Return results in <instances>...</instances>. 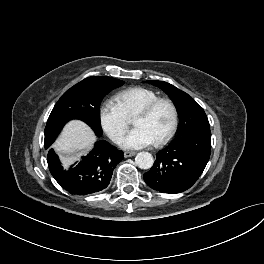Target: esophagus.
Wrapping results in <instances>:
<instances>
[{"label": "esophagus", "mask_w": 264, "mask_h": 264, "mask_svg": "<svg viewBox=\"0 0 264 264\" xmlns=\"http://www.w3.org/2000/svg\"><path fill=\"white\" fill-rule=\"evenodd\" d=\"M135 154H136V152H134V151H126V152H124V157L125 158L132 157Z\"/></svg>", "instance_id": "1"}]
</instances>
